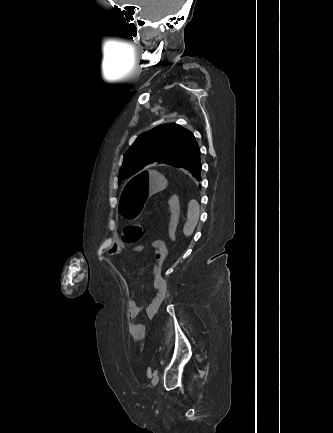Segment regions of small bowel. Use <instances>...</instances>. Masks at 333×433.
<instances>
[{"label":"small bowel","instance_id":"1","mask_svg":"<svg viewBox=\"0 0 333 433\" xmlns=\"http://www.w3.org/2000/svg\"><path fill=\"white\" fill-rule=\"evenodd\" d=\"M154 254V283H153V294L149 302L145 307L141 306L136 297L132 296L128 299L126 305V318L129 321L128 330L129 334L133 339H141L145 334V325L135 320L144 313L149 319L157 315L162 302L164 301L168 286L166 280L161 274V269L164 261L167 257L168 250L163 240H154L151 244ZM122 250V246L119 244H113L108 249V257L112 258L116 256ZM134 251H141L142 246H136L133 248Z\"/></svg>","mask_w":333,"mask_h":433}]
</instances>
